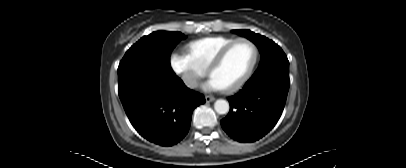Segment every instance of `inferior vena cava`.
Masks as SVG:
<instances>
[{"instance_id": "inferior-vena-cava-1", "label": "inferior vena cava", "mask_w": 406, "mask_h": 168, "mask_svg": "<svg viewBox=\"0 0 406 168\" xmlns=\"http://www.w3.org/2000/svg\"><path fill=\"white\" fill-rule=\"evenodd\" d=\"M184 81L188 86H195V84H196V79L190 75H185Z\"/></svg>"}]
</instances>
